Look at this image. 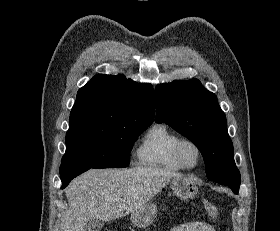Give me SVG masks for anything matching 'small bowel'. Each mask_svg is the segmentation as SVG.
I'll return each instance as SVG.
<instances>
[{
    "label": "small bowel",
    "instance_id": "small-bowel-1",
    "mask_svg": "<svg viewBox=\"0 0 280 231\" xmlns=\"http://www.w3.org/2000/svg\"><path fill=\"white\" fill-rule=\"evenodd\" d=\"M171 231H215V228L205 221H191L174 226Z\"/></svg>",
    "mask_w": 280,
    "mask_h": 231
}]
</instances>
